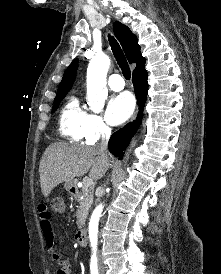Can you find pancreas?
<instances>
[{
  "instance_id": "cf45deb5",
  "label": "pancreas",
  "mask_w": 221,
  "mask_h": 274,
  "mask_svg": "<svg viewBox=\"0 0 221 274\" xmlns=\"http://www.w3.org/2000/svg\"><path fill=\"white\" fill-rule=\"evenodd\" d=\"M81 196L83 197L82 199H80ZM75 198L80 204L76 212L77 226L82 227L85 224L88 210L93 202V191L83 186L81 192Z\"/></svg>"
}]
</instances>
